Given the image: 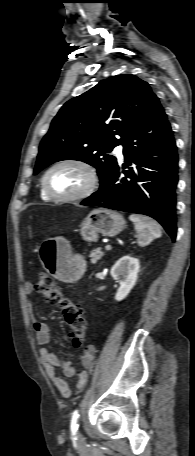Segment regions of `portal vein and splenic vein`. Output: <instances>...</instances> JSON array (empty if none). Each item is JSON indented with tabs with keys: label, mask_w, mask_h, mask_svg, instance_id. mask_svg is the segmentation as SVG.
<instances>
[{
	"label": "portal vein and splenic vein",
	"mask_w": 195,
	"mask_h": 456,
	"mask_svg": "<svg viewBox=\"0 0 195 456\" xmlns=\"http://www.w3.org/2000/svg\"><path fill=\"white\" fill-rule=\"evenodd\" d=\"M111 248H112L111 245H106L105 246V250H111Z\"/></svg>",
	"instance_id": "obj_1"
}]
</instances>
